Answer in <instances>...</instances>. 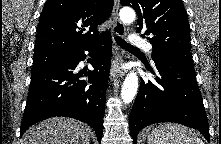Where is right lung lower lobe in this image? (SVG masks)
Returning <instances> with one entry per match:
<instances>
[{"label": "right lung lower lobe", "instance_id": "98d812e1", "mask_svg": "<svg viewBox=\"0 0 221 144\" xmlns=\"http://www.w3.org/2000/svg\"><path fill=\"white\" fill-rule=\"evenodd\" d=\"M109 33L85 46L65 60L31 75V83L21 124L20 136L37 122L50 117L64 116L90 125L101 142L105 113V90L111 63ZM93 57V71H78L85 60L84 51ZM87 76V80L80 77Z\"/></svg>", "mask_w": 221, "mask_h": 144}]
</instances>
